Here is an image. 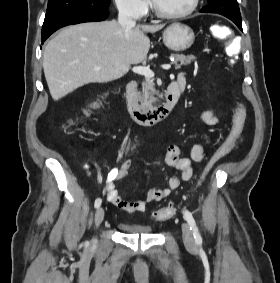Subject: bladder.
<instances>
[{"label":"bladder","instance_id":"1","mask_svg":"<svg viewBox=\"0 0 280 283\" xmlns=\"http://www.w3.org/2000/svg\"><path fill=\"white\" fill-rule=\"evenodd\" d=\"M118 228L124 234H130V235H151L153 232L152 226L133 224V223L120 222L118 224Z\"/></svg>","mask_w":280,"mask_h":283}]
</instances>
